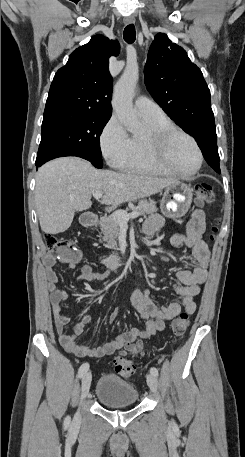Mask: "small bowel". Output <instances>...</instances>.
<instances>
[{
	"label": "small bowel",
	"mask_w": 245,
	"mask_h": 457,
	"mask_svg": "<svg viewBox=\"0 0 245 457\" xmlns=\"http://www.w3.org/2000/svg\"><path fill=\"white\" fill-rule=\"evenodd\" d=\"M163 225V217L159 214H152L144 223V233L151 236ZM205 226V213L203 210L197 209L188 220L186 231L176 233L171 238V243L175 247L187 246L192 248V256L198 263L193 270L179 269L176 272L178 283L173 285V290L181 300L158 306L151 298L148 289L142 290L141 288H135L131 295V303L145 322V327L143 329L131 328L104 345L94 348L86 344L77 343L76 341L77 337L85 331L89 324L90 316L88 314L82 315L74 326V333L68 334L66 328L70 323V319L61 312L62 303L67 299L68 293L59 286V278L54 270V265L59 261L69 268H75L76 258H56L49 254L45 255L43 257V265L47 280V289L50 293L55 328L59 342L63 348L67 352L79 357L99 358L112 355L125 345L138 339H150L158 332L163 331L166 322L173 321L182 310L186 314H193L196 311L195 297L200 292L201 284L208 277L210 253L207 244L202 239ZM109 275V271L96 272L89 265H83L80 269L79 279L87 282H98L105 280ZM118 313V309H114L110 317L111 323L116 320Z\"/></svg>",
	"instance_id": "c3829d8e"
}]
</instances>
